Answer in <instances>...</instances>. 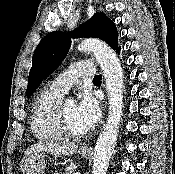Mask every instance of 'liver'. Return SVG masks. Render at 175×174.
<instances>
[{
  "instance_id": "1",
  "label": "liver",
  "mask_w": 175,
  "mask_h": 174,
  "mask_svg": "<svg viewBox=\"0 0 175 174\" xmlns=\"http://www.w3.org/2000/svg\"><path fill=\"white\" fill-rule=\"evenodd\" d=\"M77 150L78 145L75 143L41 142L28 147L25 151V158L40 153H50L55 156H70L76 153Z\"/></svg>"
}]
</instances>
